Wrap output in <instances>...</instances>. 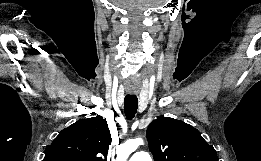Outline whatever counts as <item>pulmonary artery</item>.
Masks as SVG:
<instances>
[{"mask_svg":"<svg viewBox=\"0 0 261 161\" xmlns=\"http://www.w3.org/2000/svg\"><path fill=\"white\" fill-rule=\"evenodd\" d=\"M129 161H153L152 157L145 150H139L131 155Z\"/></svg>","mask_w":261,"mask_h":161,"instance_id":"obj_1","label":"pulmonary artery"}]
</instances>
